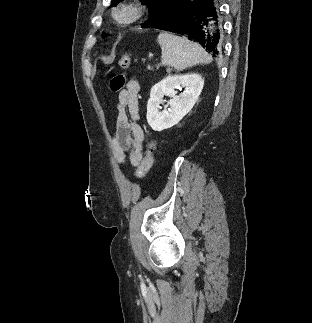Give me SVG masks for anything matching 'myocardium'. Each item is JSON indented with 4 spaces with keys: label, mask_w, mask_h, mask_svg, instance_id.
<instances>
[{
    "label": "myocardium",
    "mask_w": 312,
    "mask_h": 323,
    "mask_svg": "<svg viewBox=\"0 0 312 323\" xmlns=\"http://www.w3.org/2000/svg\"><path fill=\"white\" fill-rule=\"evenodd\" d=\"M149 11H153V5L151 3H124L122 8H117V10H111L109 15L114 17L119 25H131L132 21H139V19H144V15H148Z\"/></svg>",
    "instance_id": "obj_1"
}]
</instances>
